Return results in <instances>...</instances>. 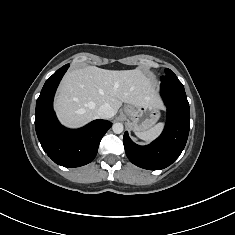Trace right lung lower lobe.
<instances>
[{"label": "right lung lower lobe", "mask_w": 235, "mask_h": 235, "mask_svg": "<svg viewBox=\"0 0 235 235\" xmlns=\"http://www.w3.org/2000/svg\"><path fill=\"white\" fill-rule=\"evenodd\" d=\"M68 67L69 64L64 65L45 82L36 102L35 128L42 148L56 164L79 167L95 158L99 143L112 123L95 120L76 130L60 125L53 111V98Z\"/></svg>", "instance_id": "1"}]
</instances>
